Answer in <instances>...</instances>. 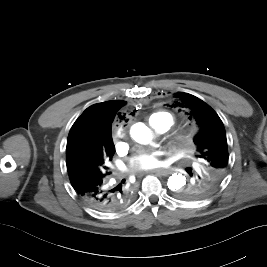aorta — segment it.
<instances>
[{
  "mask_svg": "<svg viewBox=\"0 0 267 267\" xmlns=\"http://www.w3.org/2000/svg\"><path fill=\"white\" fill-rule=\"evenodd\" d=\"M131 137L140 144H149L152 134L144 123H136L130 129ZM186 184V177L181 173H174L168 178L167 186L171 191L178 192Z\"/></svg>",
  "mask_w": 267,
  "mask_h": 267,
  "instance_id": "762f6f07",
  "label": "aorta"
}]
</instances>
